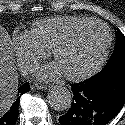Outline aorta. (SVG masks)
I'll list each match as a JSON object with an SVG mask.
<instances>
[{
    "instance_id": "aorta-1",
    "label": "aorta",
    "mask_w": 125,
    "mask_h": 125,
    "mask_svg": "<svg viewBox=\"0 0 125 125\" xmlns=\"http://www.w3.org/2000/svg\"><path fill=\"white\" fill-rule=\"evenodd\" d=\"M47 100L54 110L65 111L71 107L73 95L66 87L55 86L49 91Z\"/></svg>"
}]
</instances>
